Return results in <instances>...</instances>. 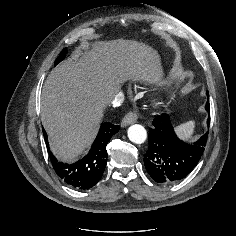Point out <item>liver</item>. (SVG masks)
<instances>
[{
    "mask_svg": "<svg viewBox=\"0 0 236 236\" xmlns=\"http://www.w3.org/2000/svg\"><path fill=\"white\" fill-rule=\"evenodd\" d=\"M159 55L133 40L98 41L48 75L41 96V120L53 154L73 161L93 142L105 107L127 80L160 81Z\"/></svg>",
    "mask_w": 236,
    "mask_h": 236,
    "instance_id": "obj_1",
    "label": "liver"
}]
</instances>
